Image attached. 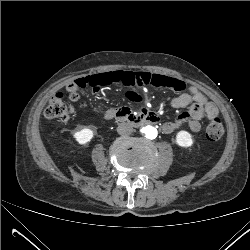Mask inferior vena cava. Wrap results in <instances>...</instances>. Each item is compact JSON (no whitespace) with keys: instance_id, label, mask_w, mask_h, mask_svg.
<instances>
[{"instance_id":"602c4592","label":"inferior vena cava","mask_w":250,"mask_h":250,"mask_svg":"<svg viewBox=\"0 0 250 250\" xmlns=\"http://www.w3.org/2000/svg\"><path fill=\"white\" fill-rule=\"evenodd\" d=\"M117 132L120 135H129L133 132V127L129 123H120L117 127Z\"/></svg>"}]
</instances>
